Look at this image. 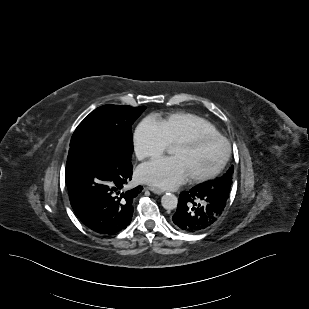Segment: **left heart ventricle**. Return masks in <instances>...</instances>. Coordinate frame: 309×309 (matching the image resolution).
Masks as SVG:
<instances>
[{"instance_id":"1","label":"left heart ventricle","mask_w":309,"mask_h":309,"mask_svg":"<svg viewBox=\"0 0 309 309\" xmlns=\"http://www.w3.org/2000/svg\"><path fill=\"white\" fill-rule=\"evenodd\" d=\"M223 144L217 140H206L195 146H174L171 155L177 157L189 177L211 172L220 162Z\"/></svg>"}]
</instances>
